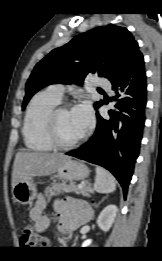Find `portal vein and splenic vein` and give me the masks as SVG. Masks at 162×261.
Instances as JSON below:
<instances>
[{
  "label": "portal vein and splenic vein",
  "instance_id": "portal-vein-and-splenic-vein-1",
  "mask_svg": "<svg viewBox=\"0 0 162 261\" xmlns=\"http://www.w3.org/2000/svg\"><path fill=\"white\" fill-rule=\"evenodd\" d=\"M83 184H84V183L79 184V185H78V188H82Z\"/></svg>",
  "mask_w": 162,
  "mask_h": 261
}]
</instances>
